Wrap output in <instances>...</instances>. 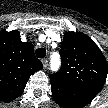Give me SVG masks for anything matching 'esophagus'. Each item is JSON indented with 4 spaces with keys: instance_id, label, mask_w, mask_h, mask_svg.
Instances as JSON below:
<instances>
[{
    "instance_id": "34e87169",
    "label": "esophagus",
    "mask_w": 108,
    "mask_h": 108,
    "mask_svg": "<svg viewBox=\"0 0 108 108\" xmlns=\"http://www.w3.org/2000/svg\"><path fill=\"white\" fill-rule=\"evenodd\" d=\"M42 64H43V67L46 68L47 65H48V60L47 59H42Z\"/></svg>"
}]
</instances>
